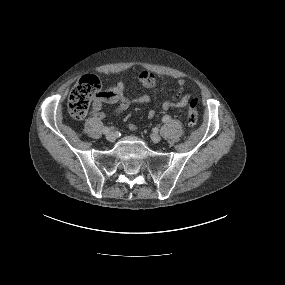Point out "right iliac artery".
<instances>
[{
    "label": "right iliac artery",
    "mask_w": 285,
    "mask_h": 285,
    "mask_svg": "<svg viewBox=\"0 0 285 285\" xmlns=\"http://www.w3.org/2000/svg\"><path fill=\"white\" fill-rule=\"evenodd\" d=\"M111 129H112V128H110V127H104V128H103V133H104V134H107V133L110 132Z\"/></svg>",
    "instance_id": "right-iliac-artery-1"
}]
</instances>
